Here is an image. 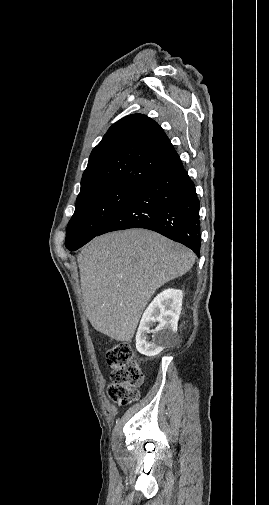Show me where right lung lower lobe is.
<instances>
[{"instance_id": "1", "label": "right lung lower lobe", "mask_w": 269, "mask_h": 505, "mask_svg": "<svg viewBox=\"0 0 269 505\" xmlns=\"http://www.w3.org/2000/svg\"><path fill=\"white\" fill-rule=\"evenodd\" d=\"M199 208L195 185L178 160L140 186L98 235L145 228L184 244L199 256Z\"/></svg>"}]
</instances>
